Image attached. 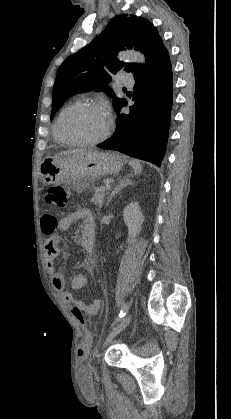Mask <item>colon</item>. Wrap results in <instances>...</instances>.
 I'll use <instances>...</instances> for the list:
<instances>
[{
  "label": "colon",
  "instance_id": "colon-1",
  "mask_svg": "<svg viewBox=\"0 0 231 419\" xmlns=\"http://www.w3.org/2000/svg\"><path fill=\"white\" fill-rule=\"evenodd\" d=\"M46 200L57 209H64L68 205L69 201V189L67 185L60 184L50 187L46 192ZM75 315L81 320L82 316L79 312H75ZM91 335L88 331H85L84 344L81 346L82 349L87 348L91 345Z\"/></svg>",
  "mask_w": 231,
  "mask_h": 419
}]
</instances>
